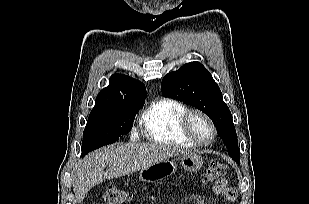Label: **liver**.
<instances>
[{
	"instance_id": "6515ba94",
	"label": "liver",
	"mask_w": 309,
	"mask_h": 204,
	"mask_svg": "<svg viewBox=\"0 0 309 204\" xmlns=\"http://www.w3.org/2000/svg\"><path fill=\"white\" fill-rule=\"evenodd\" d=\"M186 153L178 148L150 143L114 144L90 153L76 167L73 191L77 201L106 179H116L167 158ZM109 165V169L104 171Z\"/></svg>"
}]
</instances>
